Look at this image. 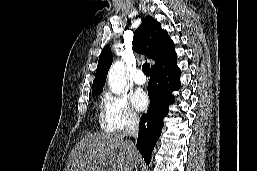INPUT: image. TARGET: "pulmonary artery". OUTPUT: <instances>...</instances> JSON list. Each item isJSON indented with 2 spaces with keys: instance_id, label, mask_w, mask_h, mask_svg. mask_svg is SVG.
Listing matches in <instances>:
<instances>
[{
  "instance_id": "e3ab8cb5",
  "label": "pulmonary artery",
  "mask_w": 257,
  "mask_h": 171,
  "mask_svg": "<svg viewBox=\"0 0 257 171\" xmlns=\"http://www.w3.org/2000/svg\"><path fill=\"white\" fill-rule=\"evenodd\" d=\"M133 80L134 82L137 84V85H143L145 84L146 82V77L143 73L142 70H137L134 74V77H133Z\"/></svg>"
}]
</instances>
